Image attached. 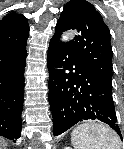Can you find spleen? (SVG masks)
<instances>
[{"mask_svg": "<svg viewBox=\"0 0 124 149\" xmlns=\"http://www.w3.org/2000/svg\"><path fill=\"white\" fill-rule=\"evenodd\" d=\"M71 142L74 149H119L118 139L110 128L89 123L79 125L72 131Z\"/></svg>", "mask_w": 124, "mask_h": 149, "instance_id": "spleen-1", "label": "spleen"}]
</instances>
